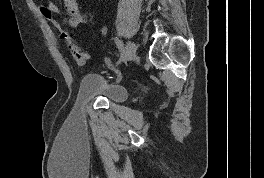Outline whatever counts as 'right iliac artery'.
I'll return each instance as SVG.
<instances>
[{"label": "right iliac artery", "mask_w": 264, "mask_h": 178, "mask_svg": "<svg viewBox=\"0 0 264 178\" xmlns=\"http://www.w3.org/2000/svg\"><path fill=\"white\" fill-rule=\"evenodd\" d=\"M115 43L119 51L122 53L124 51L123 43L118 38H115Z\"/></svg>", "instance_id": "obj_1"}]
</instances>
